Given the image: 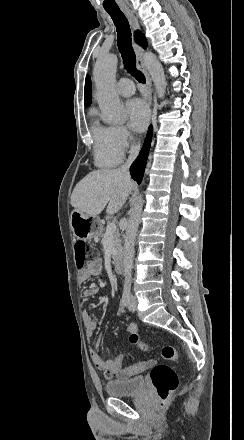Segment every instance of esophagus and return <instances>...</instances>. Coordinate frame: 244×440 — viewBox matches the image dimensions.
I'll return each instance as SVG.
<instances>
[{
  "instance_id": "esophagus-1",
  "label": "esophagus",
  "mask_w": 244,
  "mask_h": 440,
  "mask_svg": "<svg viewBox=\"0 0 244 440\" xmlns=\"http://www.w3.org/2000/svg\"><path fill=\"white\" fill-rule=\"evenodd\" d=\"M123 12L125 13L127 19L129 20V23L132 27V29L135 31L140 28L139 22L134 15V13L130 10L129 7H122ZM134 51L136 54L137 59V66L142 70L144 73V76L146 77V98L148 99L149 103L152 101V80L150 78V75L147 71L146 65H145V54L141 47L138 45H134Z\"/></svg>"
}]
</instances>
